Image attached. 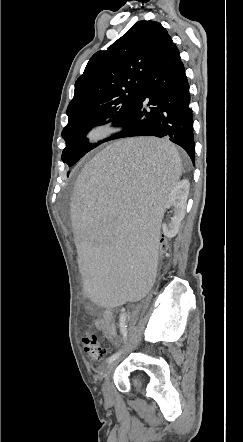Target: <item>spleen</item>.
<instances>
[{
  "label": "spleen",
  "mask_w": 243,
  "mask_h": 442,
  "mask_svg": "<svg viewBox=\"0 0 243 442\" xmlns=\"http://www.w3.org/2000/svg\"><path fill=\"white\" fill-rule=\"evenodd\" d=\"M84 170L72 194L84 296L100 307L143 302L155 279L158 226L182 174L181 157L165 140L126 139L105 147Z\"/></svg>",
  "instance_id": "obj_1"
}]
</instances>
